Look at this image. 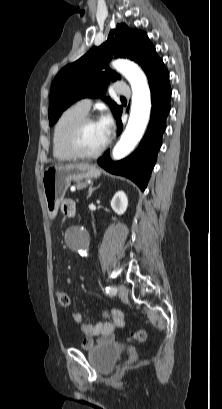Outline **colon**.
Returning a JSON list of instances; mask_svg holds the SVG:
<instances>
[{
    "instance_id": "obj_1",
    "label": "colon",
    "mask_w": 222,
    "mask_h": 409,
    "mask_svg": "<svg viewBox=\"0 0 222 409\" xmlns=\"http://www.w3.org/2000/svg\"><path fill=\"white\" fill-rule=\"evenodd\" d=\"M56 296L57 302L61 307L66 308L70 305V297L66 291H58ZM131 339L138 342H144L147 339V332L145 330H139L132 334Z\"/></svg>"
}]
</instances>
